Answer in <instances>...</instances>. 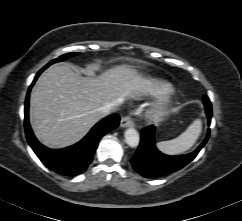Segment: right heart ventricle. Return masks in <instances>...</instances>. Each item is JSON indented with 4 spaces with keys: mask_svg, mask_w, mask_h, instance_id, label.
Returning a JSON list of instances; mask_svg holds the SVG:
<instances>
[{
    "mask_svg": "<svg viewBox=\"0 0 242 221\" xmlns=\"http://www.w3.org/2000/svg\"><path fill=\"white\" fill-rule=\"evenodd\" d=\"M171 86L158 79H150L144 83L142 92L153 96H163L171 91Z\"/></svg>",
    "mask_w": 242,
    "mask_h": 221,
    "instance_id": "obj_1",
    "label": "right heart ventricle"
}]
</instances>
